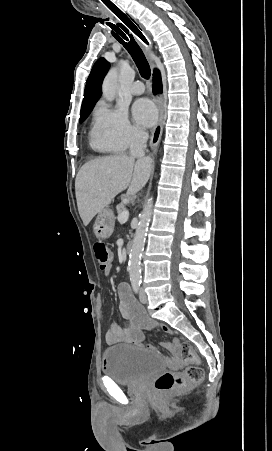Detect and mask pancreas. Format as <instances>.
<instances>
[{
    "label": "pancreas",
    "mask_w": 272,
    "mask_h": 451,
    "mask_svg": "<svg viewBox=\"0 0 272 451\" xmlns=\"http://www.w3.org/2000/svg\"><path fill=\"white\" fill-rule=\"evenodd\" d=\"M121 200H129V196H122ZM125 206H126V204H123V202H121V204H118V206H116L117 214H121V212H125V210H126Z\"/></svg>",
    "instance_id": "1"
}]
</instances>
